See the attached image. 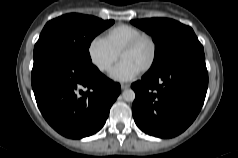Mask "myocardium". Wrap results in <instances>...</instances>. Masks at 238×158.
Masks as SVG:
<instances>
[{"instance_id":"obj_1","label":"myocardium","mask_w":238,"mask_h":158,"mask_svg":"<svg viewBox=\"0 0 238 158\" xmlns=\"http://www.w3.org/2000/svg\"><path fill=\"white\" fill-rule=\"evenodd\" d=\"M143 40L149 41V43L151 44V47H152V54H151V58H150L149 62L140 70L141 72H147L154 66L156 59H157V55H158L157 43L151 35L142 33V34L134 37L133 39H131L128 43H126L124 45V47L121 49V51L119 53V56H120V58H122L124 53L134 49Z\"/></svg>"}]
</instances>
